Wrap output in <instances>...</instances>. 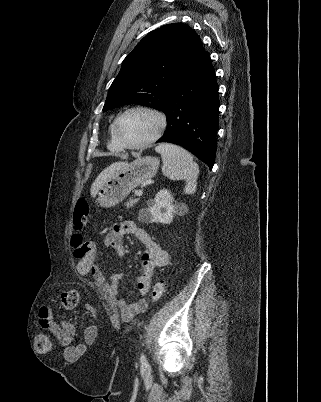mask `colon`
I'll use <instances>...</instances> for the list:
<instances>
[{
    "label": "colon",
    "mask_w": 321,
    "mask_h": 402,
    "mask_svg": "<svg viewBox=\"0 0 321 402\" xmlns=\"http://www.w3.org/2000/svg\"><path fill=\"white\" fill-rule=\"evenodd\" d=\"M90 212V204L86 199H80L73 212V228L75 233L72 235L70 245L73 255L77 260V270L79 274L86 275L92 268L95 261L97 248L92 241L86 240L81 231L86 226ZM166 290L164 281H157L152 288V298L159 300L162 298ZM80 296L77 289H69L61 295V306L70 310L79 304ZM36 350L41 353L50 352L53 348L52 338L45 333L36 335Z\"/></svg>",
    "instance_id": "obj_1"
}]
</instances>
